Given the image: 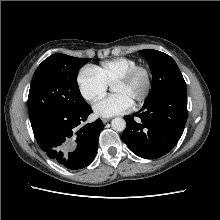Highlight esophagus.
Here are the masks:
<instances>
[{
  "label": "esophagus",
  "instance_id": "34e87169",
  "mask_svg": "<svg viewBox=\"0 0 220 220\" xmlns=\"http://www.w3.org/2000/svg\"><path fill=\"white\" fill-rule=\"evenodd\" d=\"M102 121H103V123H107L110 121V118H103Z\"/></svg>",
  "mask_w": 220,
  "mask_h": 220
}]
</instances>
